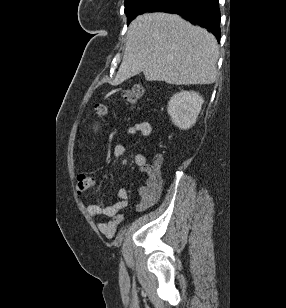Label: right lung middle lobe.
Here are the masks:
<instances>
[{
  "mask_svg": "<svg viewBox=\"0 0 286 308\" xmlns=\"http://www.w3.org/2000/svg\"><path fill=\"white\" fill-rule=\"evenodd\" d=\"M168 0H125V14L129 24L137 15L150 12L160 7Z\"/></svg>",
  "mask_w": 286,
  "mask_h": 308,
  "instance_id": "obj_1",
  "label": "right lung middle lobe"
}]
</instances>
